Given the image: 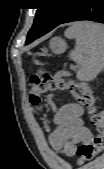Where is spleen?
Instances as JSON below:
<instances>
[{"instance_id":"obj_1","label":"spleen","mask_w":104,"mask_h":169,"mask_svg":"<svg viewBox=\"0 0 104 169\" xmlns=\"http://www.w3.org/2000/svg\"><path fill=\"white\" fill-rule=\"evenodd\" d=\"M65 36L76 40L69 57L78 65L77 79L94 80L104 68V26L92 22L74 23L65 31Z\"/></svg>"}]
</instances>
